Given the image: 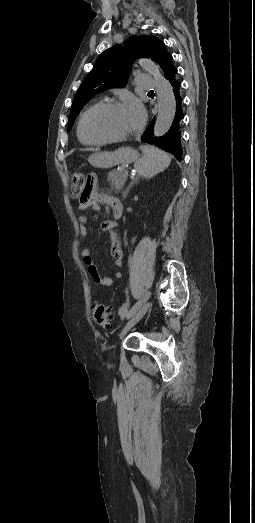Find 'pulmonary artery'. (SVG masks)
<instances>
[{"mask_svg": "<svg viewBox=\"0 0 255 523\" xmlns=\"http://www.w3.org/2000/svg\"><path fill=\"white\" fill-rule=\"evenodd\" d=\"M135 80L139 82L137 88L141 92L151 91L153 89V85L155 84V81L147 73L137 75V77H135Z\"/></svg>", "mask_w": 255, "mask_h": 523, "instance_id": "1", "label": "pulmonary artery"}]
</instances>
